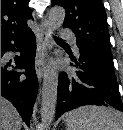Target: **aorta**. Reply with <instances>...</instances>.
Masks as SVG:
<instances>
[{"label": "aorta", "instance_id": "obj_1", "mask_svg": "<svg viewBox=\"0 0 123 130\" xmlns=\"http://www.w3.org/2000/svg\"><path fill=\"white\" fill-rule=\"evenodd\" d=\"M65 10L60 6L51 8L49 12V24L52 32L57 30L64 21ZM58 88V70L56 61L50 59L44 71L42 95H41V122L44 128H48L53 121Z\"/></svg>", "mask_w": 123, "mask_h": 130}]
</instances>
